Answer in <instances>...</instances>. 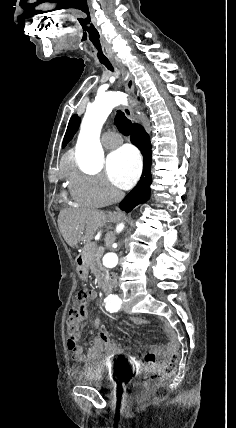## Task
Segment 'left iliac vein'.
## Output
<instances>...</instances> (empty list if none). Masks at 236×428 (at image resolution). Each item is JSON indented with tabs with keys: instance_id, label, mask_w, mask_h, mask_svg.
Instances as JSON below:
<instances>
[{
	"instance_id": "1",
	"label": "left iliac vein",
	"mask_w": 236,
	"mask_h": 428,
	"mask_svg": "<svg viewBox=\"0 0 236 428\" xmlns=\"http://www.w3.org/2000/svg\"><path fill=\"white\" fill-rule=\"evenodd\" d=\"M120 299H121V301H124V298H123V296H120Z\"/></svg>"
}]
</instances>
